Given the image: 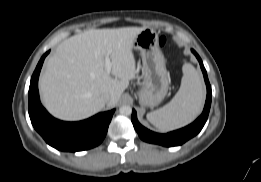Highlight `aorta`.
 Masks as SVG:
<instances>
[{"label":"aorta","instance_id":"obj_1","mask_svg":"<svg viewBox=\"0 0 261 182\" xmlns=\"http://www.w3.org/2000/svg\"><path fill=\"white\" fill-rule=\"evenodd\" d=\"M119 112L120 114L122 115H131L132 113V108L129 106V105H122L120 108H119Z\"/></svg>","mask_w":261,"mask_h":182}]
</instances>
